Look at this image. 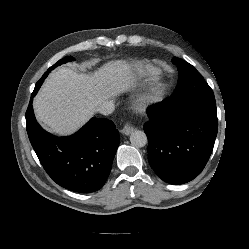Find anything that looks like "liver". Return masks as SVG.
Here are the masks:
<instances>
[{
    "instance_id": "obj_1",
    "label": "liver",
    "mask_w": 249,
    "mask_h": 249,
    "mask_svg": "<svg viewBox=\"0 0 249 249\" xmlns=\"http://www.w3.org/2000/svg\"><path fill=\"white\" fill-rule=\"evenodd\" d=\"M133 75L125 61L109 62L88 74L60 68L50 74L34 100L36 117L56 134H72L104 101L130 88Z\"/></svg>"
}]
</instances>
